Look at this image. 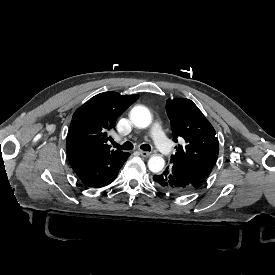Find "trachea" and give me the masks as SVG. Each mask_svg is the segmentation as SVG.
<instances>
[{
    "instance_id": "obj_1",
    "label": "trachea",
    "mask_w": 275,
    "mask_h": 275,
    "mask_svg": "<svg viewBox=\"0 0 275 275\" xmlns=\"http://www.w3.org/2000/svg\"><path fill=\"white\" fill-rule=\"evenodd\" d=\"M113 146L116 147V148H118V149H123V150H128V151L132 150L133 147H134L133 144L130 143V142H128V141L125 142L123 145H119V144L113 142ZM141 149L143 151H150L151 147L148 144H144V145H141Z\"/></svg>"
}]
</instances>
